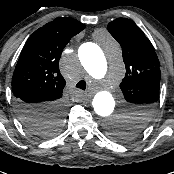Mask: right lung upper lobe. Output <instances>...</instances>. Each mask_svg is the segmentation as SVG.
I'll return each instance as SVG.
<instances>
[{
  "label": "right lung upper lobe",
  "mask_w": 174,
  "mask_h": 174,
  "mask_svg": "<svg viewBox=\"0 0 174 174\" xmlns=\"http://www.w3.org/2000/svg\"><path fill=\"white\" fill-rule=\"evenodd\" d=\"M85 25L75 19L60 17L36 30L25 43L12 78V92L16 99L33 102H55L62 97L65 80L58 63L63 48L71 37ZM26 123L48 120L46 108L37 113H21Z\"/></svg>",
  "instance_id": "cb5924a9"
}]
</instances>
